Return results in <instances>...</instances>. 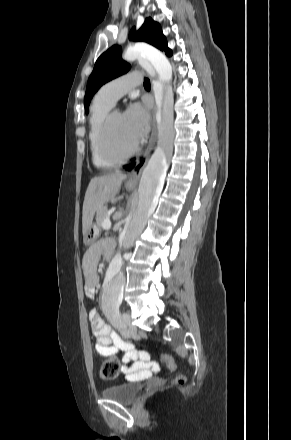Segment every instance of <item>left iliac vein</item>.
Segmentation results:
<instances>
[{"instance_id":"1","label":"left iliac vein","mask_w":291,"mask_h":440,"mask_svg":"<svg viewBox=\"0 0 291 440\" xmlns=\"http://www.w3.org/2000/svg\"><path fill=\"white\" fill-rule=\"evenodd\" d=\"M122 320L126 327L125 331L123 332L125 337H131L137 332V328L132 324L131 316L129 313H123L122 314Z\"/></svg>"}]
</instances>
